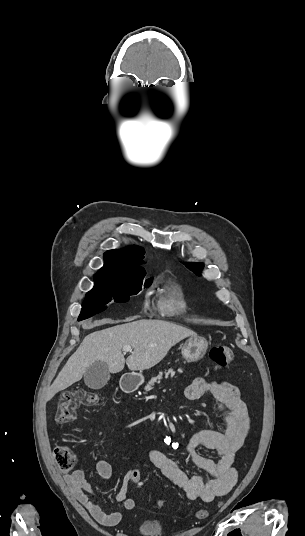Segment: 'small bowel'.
Returning a JSON list of instances; mask_svg holds the SVG:
<instances>
[{
	"mask_svg": "<svg viewBox=\"0 0 305 536\" xmlns=\"http://www.w3.org/2000/svg\"><path fill=\"white\" fill-rule=\"evenodd\" d=\"M204 395L214 396L224 430L196 432L185 444V451L193 464L209 474V478L204 479L200 475L188 477L175 459L156 449L149 451L148 458L164 476L184 490L189 500L211 502L227 495L237 482L238 474L233 463L236 453L249 436L250 416L238 388L229 382L196 378L185 390L186 398L191 401ZM165 441L174 445L172 438ZM200 446L216 454L217 459L198 455L195 449ZM96 470L103 480L112 476V467L106 460L98 461ZM65 481L76 499L99 524L112 527L121 521L120 512H106L92 499L94 491L85 479L84 465L65 475ZM127 482L126 474L114 498L130 511L135 508L136 502L128 497Z\"/></svg>",
	"mask_w": 305,
	"mask_h": 536,
	"instance_id": "small-bowel-1",
	"label": "small bowel"
}]
</instances>
